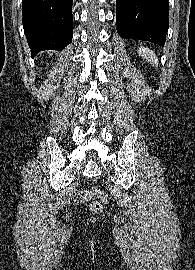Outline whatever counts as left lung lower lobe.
Masks as SVG:
<instances>
[{"instance_id":"1","label":"left lung lower lobe","mask_w":195,"mask_h":270,"mask_svg":"<svg viewBox=\"0 0 195 270\" xmlns=\"http://www.w3.org/2000/svg\"><path fill=\"white\" fill-rule=\"evenodd\" d=\"M168 11V0H116L118 34L164 46Z\"/></svg>"}]
</instances>
